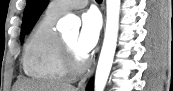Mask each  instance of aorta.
<instances>
[{
	"label": "aorta",
	"mask_w": 173,
	"mask_h": 91,
	"mask_svg": "<svg viewBox=\"0 0 173 91\" xmlns=\"http://www.w3.org/2000/svg\"><path fill=\"white\" fill-rule=\"evenodd\" d=\"M107 20L105 37L100 53L96 75H95V91H103L112 67L113 58L116 50L120 0H106ZM80 20L74 15H67L58 28L68 29L69 27L78 28Z\"/></svg>",
	"instance_id": "aorta-1"
}]
</instances>
